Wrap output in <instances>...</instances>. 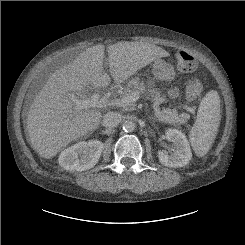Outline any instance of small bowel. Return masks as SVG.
I'll return each mask as SVG.
<instances>
[{"instance_id":"obj_1","label":"small bowel","mask_w":245,"mask_h":245,"mask_svg":"<svg viewBox=\"0 0 245 245\" xmlns=\"http://www.w3.org/2000/svg\"><path fill=\"white\" fill-rule=\"evenodd\" d=\"M176 93H177V90H176V89H171V90L169 91V95H170V96H175Z\"/></svg>"}]
</instances>
